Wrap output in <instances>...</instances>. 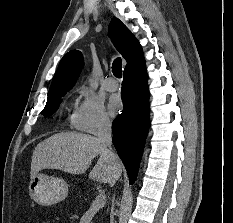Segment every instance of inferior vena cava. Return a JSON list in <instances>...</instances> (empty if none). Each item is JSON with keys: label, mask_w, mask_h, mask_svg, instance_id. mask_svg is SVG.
I'll return each mask as SVG.
<instances>
[{"label": "inferior vena cava", "mask_w": 233, "mask_h": 223, "mask_svg": "<svg viewBox=\"0 0 233 223\" xmlns=\"http://www.w3.org/2000/svg\"><path fill=\"white\" fill-rule=\"evenodd\" d=\"M97 137H98V141H99V143H101V145H105V147H109V149H106V151H107L110 159H112V161H115L116 153H113V151L111 149V145H112L111 121H110L109 117H106V115H105V117H100V119L98 121ZM112 165H113V163H112ZM113 201H115V199H113ZM110 223H115L114 213H112V215H111Z\"/></svg>", "instance_id": "1"}]
</instances>
